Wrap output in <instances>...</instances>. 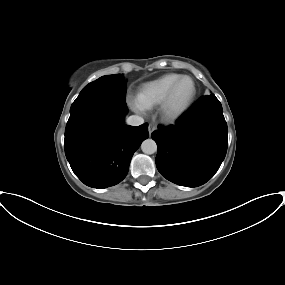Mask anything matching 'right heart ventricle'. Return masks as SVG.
<instances>
[{"label":"right heart ventricle","instance_id":"right-heart-ventricle-1","mask_svg":"<svg viewBox=\"0 0 285 285\" xmlns=\"http://www.w3.org/2000/svg\"><path fill=\"white\" fill-rule=\"evenodd\" d=\"M181 76V74L169 73L142 84L136 94L137 106L141 109H151L158 106L172 84Z\"/></svg>","mask_w":285,"mask_h":285}]
</instances>
